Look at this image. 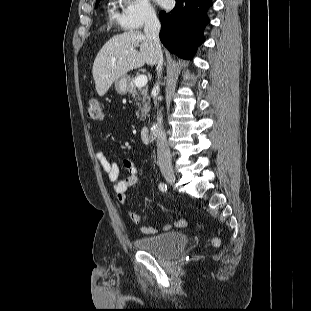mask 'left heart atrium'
<instances>
[{
	"mask_svg": "<svg viewBox=\"0 0 311 311\" xmlns=\"http://www.w3.org/2000/svg\"><path fill=\"white\" fill-rule=\"evenodd\" d=\"M160 5H165L168 0H155Z\"/></svg>",
	"mask_w": 311,
	"mask_h": 311,
	"instance_id": "39dd6f15",
	"label": "left heart atrium"
}]
</instances>
